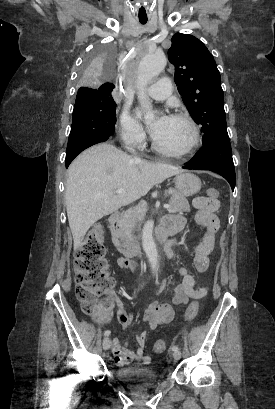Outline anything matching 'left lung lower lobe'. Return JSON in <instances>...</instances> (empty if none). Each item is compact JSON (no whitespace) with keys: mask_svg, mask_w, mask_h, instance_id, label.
Wrapping results in <instances>:
<instances>
[{"mask_svg":"<svg viewBox=\"0 0 275 409\" xmlns=\"http://www.w3.org/2000/svg\"><path fill=\"white\" fill-rule=\"evenodd\" d=\"M183 168L213 171L223 176L234 191L235 170L229 139L218 140L203 146Z\"/></svg>","mask_w":275,"mask_h":409,"instance_id":"obj_1","label":"left lung lower lobe"}]
</instances>
